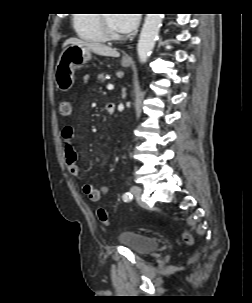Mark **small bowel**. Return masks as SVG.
<instances>
[{"label": "small bowel", "mask_w": 252, "mask_h": 303, "mask_svg": "<svg viewBox=\"0 0 252 303\" xmlns=\"http://www.w3.org/2000/svg\"><path fill=\"white\" fill-rule=\"evenodd\" d=\"M88 80L89 77L86 76L85 82H88ZM73 137V128L70 125H65L62 129V138L64 141L63 155L66 169L72 177L75 179H80L81 174L79 166L77 165V151L72 143ZM82 190L90 201L98 202L100 198L108 192V187L106 185H102L101 187L97 188L93 184L85 183L82 186Z\"/></svg>", "instance_id": "small-bowel-1"}]
</instances>
